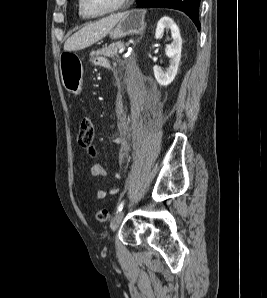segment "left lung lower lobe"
Segmentation results:
<instances>
[{"label":"left lung lower lobe","mask_w":267,"mask_h":298,"mask_svg":"<svg viewBox=\"0 0 267 298\" xmlns=\"http://www.w3.org/2000/svg\"><path fill=\"white\" fill-rule=\"evenodd\" d=\"M200 0H137L139 8H172L183 11L195 23L198 30L200 22L198 20Z\"/></svg>","instance_id":"left-lung-lower-lobe-1"}]
</instances>
